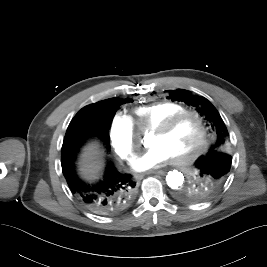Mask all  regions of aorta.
I'll return each instance as SVG.
<instances>
[{
  "mask_svg": "<svg viewBox=\"0 0 267 267\" xmlns=\"http://www.w3.org/2000/svg\"><path fill=\"white\" fill-rule=\"evenodd\" d=\"M166 182L171 189H179L184 183V175L178 170L169 171L166 175Z\"/></svg>",
  "mask_w": 267,
  "mask_h": 267,
  "instance_id": "762f6f07",
  "label": "aorta"
}]
</instances>
